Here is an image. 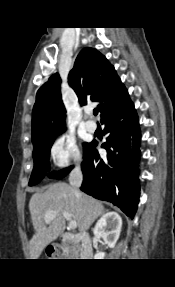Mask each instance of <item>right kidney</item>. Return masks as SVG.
Listing matches in <instances>:
<instances>
[{
  "label": "right kidney",
  "mask_w": 175,
  "mask_h": 287,
  "mask_svg": "<svg viewBox=\"0 0 175 287\" xmlns=\"http://www.w3.org/2000/svg\"><path fill=\"white\" fill-rule=\"evenodd\" d=\"M122 227V219L116 212H107L96 223L93 232L98 238H103L105 244L114 248L119 239ZM105 253L98 252L94 259H104Z\"/></svg>",
  "instance_id": "ca27d5eb"
}]
</instances>
